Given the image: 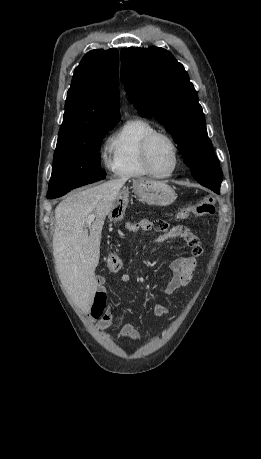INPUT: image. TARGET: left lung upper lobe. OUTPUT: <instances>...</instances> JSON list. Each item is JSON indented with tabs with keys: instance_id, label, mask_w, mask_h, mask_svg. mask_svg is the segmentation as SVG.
Listing matches in <instances>:
<instances>
[{
	"instance_id": "1",
	"label": "left lung upper lobe",
	"mask_w": 261,
	"mask_h": 459,
	"mask_svg": "<svg viewBox=\"0 0 261 459\" xmlns=\"http://www.w3.org/2000/svg\"><path fill=\"white\" fill-rule=\"evenodd\" d=\"M121 79L140 116L154 117L172 135L193 177L221 182L205 116L183 65L163 48H124Z\"/></svg>"
}]
</instances>
